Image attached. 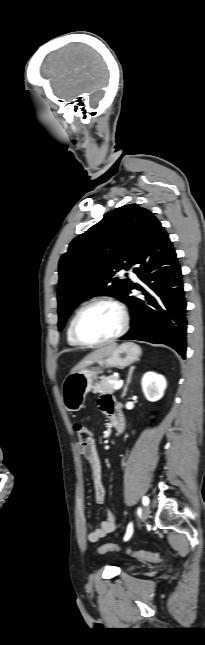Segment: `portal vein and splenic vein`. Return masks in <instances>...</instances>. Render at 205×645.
Wrapping results in <instances>:
<instances>
[{"mask_svg": "<svg viewBox=\"0 0 205 645\" xmlns=\"http://www.w3.org/2000/svg\"><path fill=\"white\" fill-rule=\"evenodd\" d=\"M122 386H123V380H119V381H117V382L115 383L114 388H115V390H118V389H120Z\"/></svg>", "mask_w": 205, "mask_h": 645, "instance_id": "1", "label": "portal vein and splenic vein"}]
</instances>
